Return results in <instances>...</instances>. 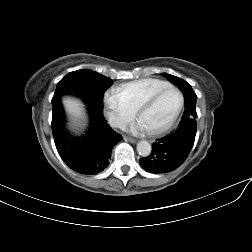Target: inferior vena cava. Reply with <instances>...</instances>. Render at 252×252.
I'll return each instance as SVG.
<instances>
[{"mask_svg": "<svg viewBox=\"0 0 252 252\" xmlns=\"http://www.w3.org/2000/svg\"><path fill=\"white\" fill-rule=\"evenodd\" d=\"M109 123L112 126H120L121 128H124V124H121L119 121L116 120V118L114 116L109 117Z\"/></svg>", "mask_w": 252, "mask_h": 252, "instance_id": "inferior-vena-cava-1", "label": "inferior vena cava"}]
</instances>
